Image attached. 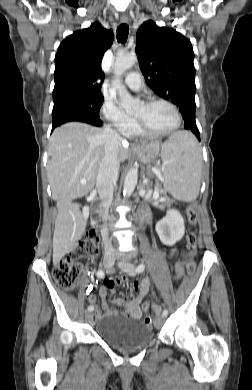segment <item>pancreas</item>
Segmentation results:
<instances>
[{"label": "pancreas", "mask_w": 252, "mask_h": 390, "mask_svg": "<svg viewBox=\"0 0 252 390\" xmlns=\"http://www.w3.org/2000/svg\"><path fill=\"white\" fill-rule=\"evenodd\" d=\"M173 203V200H169V202H158V208L163 209L165 206H170Z\"/></svg>", "instance_id": "obj_1"}]
</instances>
